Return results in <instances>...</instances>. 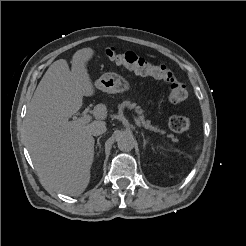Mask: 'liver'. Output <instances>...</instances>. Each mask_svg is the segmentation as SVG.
<instances>
[{
    "label": "liver",
    "mask_w": 246,
    "mask_h": 246,
    "mask_svg": "<svg viewBox=\"0 0 246 246\" xmlns=\"http://www.w3.org/2000/svg\"><path fill=\"white\" fill-rule=\"evenodd\" d=\"M94 50L83 48L67 61L52 63L28 105L24 123V139L41 180L58 192L79 195L90 181L94 160L92 126L107 117V108L98 104L96 118L84 125H70L71 118L82 106L83 96L95 94L87 63Z\"/></svg>",
    "instance_id": "liver-1"
}]
</instances>
